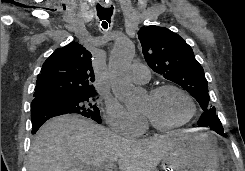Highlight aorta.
<instances>
[{
  "label": "aorta",
  "instance_id": "aorta-1",
  "mask_svg": "<svg viewBox=\"0 0 245 171\" xmlns=\"http://www.w3.org/2000/svg\"><path fill=\"white\" fill-rule=\"evenodd\" d=\"M134 55L135 47L132 40L127 38L118 40L109 55L108 71L113 93L124 103L127 110L140 111L145 94L126 79Z\"/></svg>",
  "mask_w": 245,
  "mask_h": 171
}]
</instances>
